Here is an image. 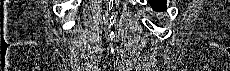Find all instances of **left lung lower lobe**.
Returning <instances> with one entry per match:
<instances>
[{"label":"left lung lower lobe","mask_w":230,"mask_h":71,"mask_svg":"<svg viewBox=\"0 0 230 71\" xmlns=\"http://www.w3.org/2000/svg\"><path fill=\"white\" fill-rule=\"evenodd\" d=\"M152 9L157 12L166 10V0H148Z\"/></svg>","instance_id":"1"}]
</instances>
